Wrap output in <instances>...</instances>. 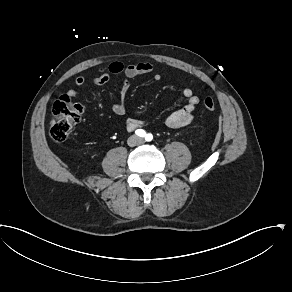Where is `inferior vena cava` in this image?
<instances>
[{
  "mask_svg": "<svg viewBox=\"0 0 292 292\" xmlns=\"http://www.w3.org/2000/svg\"><path fill=\"white\" fill-rule=\"evenodd\" d=\"M134 137H135V139L140 140L141 142H144V140L142 138H140L138 136H134Z\"/></svg>",
  "mask_w": 292,
  "mask_h": 292,
  "instance_id": "obj_1",
  "label": "inferior vena cava"
}]
</instances>
